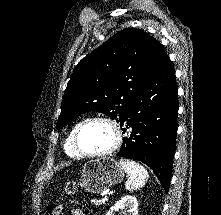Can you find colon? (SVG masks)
I'll return each instance as SVG.
<instances>
[{
    "instance_id": "5ec220e1",
    "label": "colon",
    "mask_w": 221,
    "mask_h": 215,
    "mask_svg": "<svg viewBox=\"0 0 221 215\" xmlns=\"http://www.w3.org/2000/svg\"><path fill=\"white\" fill-rule=\"evenodd\" d=\"M64 189L67 194H73L76 190L75 183L73 181L66 182ZM63 212L61 204L52 203L48 206V215H63Z\"/></svg>"
}]
</instances>
